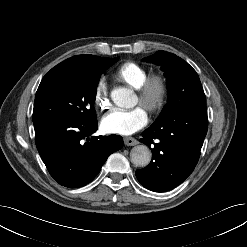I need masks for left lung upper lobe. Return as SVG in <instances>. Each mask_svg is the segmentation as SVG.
Here are the masks:
<instances>
[{"label":"left lung upper lobe","instance_id":"obj_1","mask_svg":"<svg viewBox=\"0 0 247 247\" xmlns=\"http://www.w3.org/2000/svg\"><path fill=\"white\" fill-rule=\"evenodd\" d=\"M144 61L161 65L168 84V102L154 123L192 108H206V97L200 79L186 61L165 51H157L144 58Z\"/></svg>","mask_w":247,"mask_h":247}]
</instances>
